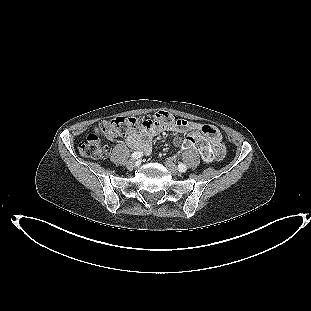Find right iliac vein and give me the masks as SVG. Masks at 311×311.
Instances as JSON below:
<instances>
[{
    "label": "right iliac vein",
    "mask_w": 311,
    "mask_h": 311,
    "mask_svg": "<svg viewBox=\"0 0 311 311\" xmlns=\"http://www.w3.org/2000/svg\"><path fill=\"white\" fill-rule=\"evenodd\" d=\"M135 166H136L135 160H129V161L126 163V167H127L128 169H133Z\"/></svg>",
    "instance_id": "1"
}]
</instances>
